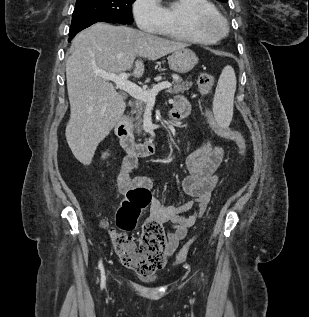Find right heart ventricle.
I'll list each match as a JSON object with an SVG mask.
<instances>
[{"label": "right heart ventricle", "instance_id": "e07e8e85", "mask_svg": "<svg viewBox=\"0 0 309 317\" xmlns=\"http://www.w3.org/2000/svg\"><path fill=\"white\" fill-rule=\"evenodd\" d=\"M195 9L216 11L210 0H175L172 4L163 7L165 22L159 34L171 39L199 44L214 43L215 39L198 36L189 29L187 18Z\"/></svg>", "mask_w": 309, "mask_h": 317}]
</instances>
